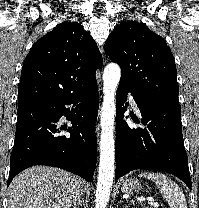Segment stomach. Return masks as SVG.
Wrapping results in <instances>:
<instances>
[{
	"instance_id": "obj_1",
	"label": "stomach",
	"mask_w": 199,
	"mask_h": 208,
	"mask_svg": "<svg viewBox=\"0 0 199 208\" xmlns=\"http://www.w3.org/2000/svg\"><path fill=\"white\" fill-rule=\"evenodd\" d=\"M121 191L126 194L138 193L141 189V184L137 179H123L120 183Z\"/></svg>"
}]
</instances>
